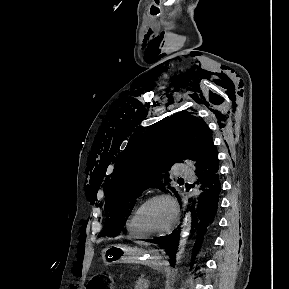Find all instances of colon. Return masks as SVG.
<instances>
[{
    "label": "colon",
    "instance_id": "colon-1",
    "mask_svg": "<svg viewBox=\"0 0 289 289\" xmlns=\"http://www.w3.org/2000/svg\"><path fill=\"white\" fill-rule=\"evenodd\" d=\"M87 289H110L109 280L104 275L97 274L89 280Z\"/></svg>",
    "mask_w": 289,
    "mask_h": 289
}]
</instances>
